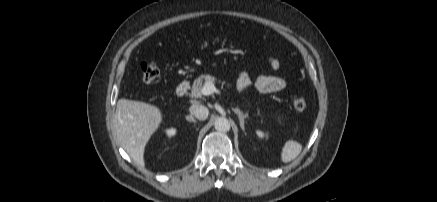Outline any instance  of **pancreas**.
Returning <instances> with one entry per match:
<instances>
[{
	"instance_id": "1",
	"label": "pancreas",
	"mask_w": 437,
	"mask_h": 202,
	"mask_svg": "<svg viewBox=\"0 0 437 202\" xmlns=\"http://www.w3.org/2000/svg\"><path fill=\"white\" fill-rule=\"evenodd\" d=\"M216 78L211 75L203 74L199 76L193 83L190 96L194 98H202L201 89L207 82H215Z\"/></svg>"
}]
</instances>
